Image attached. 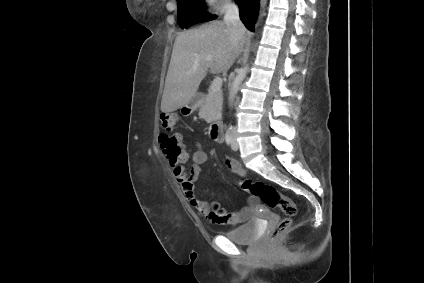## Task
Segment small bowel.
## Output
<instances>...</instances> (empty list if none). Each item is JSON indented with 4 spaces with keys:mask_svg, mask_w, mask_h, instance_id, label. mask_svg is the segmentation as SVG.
I'll list each match as a JSON object with an SVG mask.
<instances>
[{
    "mask_svg": "<svg viewBox=\"0 0 424 283\" xmlns=\"http://www.w3.org/2000/svg\"><path fill=\"white\" fill-rule=\"evenodd\" d=\"M223 141V139H222ZM221 141V142H222ZM188 156L186 154V160ZM185 160V161H186ZM207 161V154L200 144H196V150L192 155L191 165L186 169L183 165L173 167V175L179 184L183 195L186 200L202 215L208 217L214 223H229L238 224L246 220L248 216V209L244 208L236 213L231 214L225 219H220L210 211L208 204L197 198L195 194V183L197 182L202 170L203 165ZM225 164L235 173L245 175L246 171L242 168L240 163L230 156L224 157Z\"/></svg>",
    "mask_w": 424,
    "mask_h": 283,
    "instance_id": "small-bowel-1",
    "label": "small bowel"
}]
</instances>
